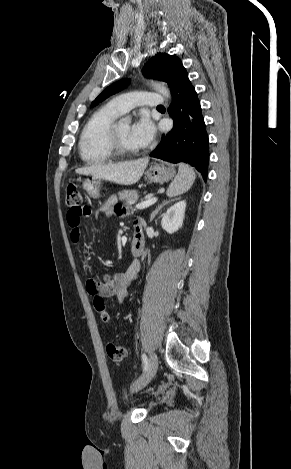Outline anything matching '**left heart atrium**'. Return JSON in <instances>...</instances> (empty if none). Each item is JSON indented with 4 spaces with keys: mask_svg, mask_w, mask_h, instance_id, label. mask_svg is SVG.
Listing matches in <instances>:
<instances>
[{
    "mask_svg": "<svg viewBox=\"0 0 291 469\" xmlns=\"http://www.w3.org/2000/svg\"><path fill=\"white\" fill-rule=\"evenodd\" d=\"M155 132L154 123L147 114L143 113L131 126L130 135L133 142L139 148H143L152 142Z\"/></svg>",
    "mask_w": 291,
    "mask_h": 469,
    "instance_id": "39dd6f15",
    "label": "left heart atrium"
}]
</instances>
